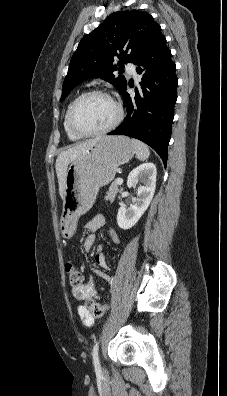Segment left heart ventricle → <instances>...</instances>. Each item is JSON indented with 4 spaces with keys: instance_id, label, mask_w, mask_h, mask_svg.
Returning a JSON list of instances; mask_svg holds the SVG:
<instances>
[{
    "instance_id": "1",
    "label": "left heart ventricle",
    "mask_w": 227,
    "mask_h": 396,
    "mask_svg": "<svg viewBox=\"0 0 227 396\" xmlns=\"http://www.w3.org/2000/svg\"><path fill=\"white\" fill-rule=\"evenodd\" d=\"M116 117L113 103L99 95L84 98L76 108L75 123L84 131H96L108 126Z\"/></svg>"
}]
</instances>
